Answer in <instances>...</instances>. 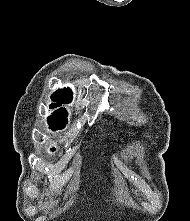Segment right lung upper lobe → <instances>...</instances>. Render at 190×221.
Returning a JSON list of instances; mask_svg holds the SVG:
<instances>
[{
	"mask_svg": "<svg viewBox=\"0 0 190 221\" xmlns=\"http://www.w3.org/2000/svg\"><path fill=\"white\" fill-rule=\"evenodd\" d=\"M51 99L57 103L51 104L50 108H56L62 104L71 102L72 92L69 88L59 89L51 96ZM67 115V111L63 108H60L56 110L51 116H49L48 122L67 123Z\"/></svg>",
	"mask_w": 190,
	"mask_h": 221,
	"instance_id": "right-lung-upper-lobe-1",
	"label": "right lung upper lobe"
}]
</instances>
